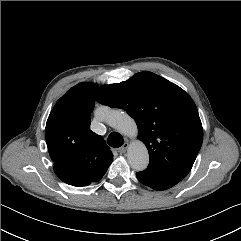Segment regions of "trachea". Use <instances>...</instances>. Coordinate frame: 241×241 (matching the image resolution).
I'll list each match as a JSON object with an SVG mask.
<instances>
[{"mask_svg": "<svg viewBox=\"0 0 241 241\" xmlns=\"http://www.w3.org/2000/svg\"><path fill=\"white\" fill-rule=\"evenodd\" d=\"M108 145L111 147H121L123 145V137L117 132H112L108 136Z\"/></svg>", "mask_w": 241, "mask_h": 241, "instance_id": "trachea-1", "label": "trachea"}]
</instances>
